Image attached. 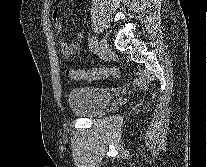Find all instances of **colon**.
<instances>
[{"mask_svg":"<svg viewBox=\"0 0 207 167\" xmlns=\"http://www.w3.org/2000/svg\"><path fill=\"white\" fill-rule=\"evenodd\" d=\"M67 76L72 80L95 81L108 77L120 78L121 73L117 68L104 67L91 70L70 69L67 71Z\"/></svg>","mask_w":207,"mask_h":167,"instance_id":"5ec220e1","label":"colon"}]
</instances>
